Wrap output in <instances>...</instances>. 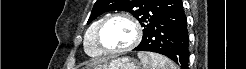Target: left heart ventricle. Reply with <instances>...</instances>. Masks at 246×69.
Segmentation results:
<instances>
[{"label":"left heart ventricle","mask_w":246,"mask_h":69,"mask_svg":"<svg viewBox=\"0 0 246 69\" xmlns=\"http://www.w3.org/2000/svg\"><path fill=\"white\" fill-rule=\"evenodd\" d=\"M133 26L125 19L116 18L109 22L101 33V40L108 48L120 49L128 46L134 39Z\"/></svg>","instance_id":"1"}]
</instances>
